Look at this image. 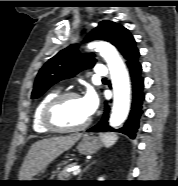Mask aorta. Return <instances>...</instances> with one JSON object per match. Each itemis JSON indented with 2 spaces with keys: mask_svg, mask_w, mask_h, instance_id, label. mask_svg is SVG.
<instances>
[{
  "mask_svg": "<svg viewBox=\"0 0 178 186\" xmlns=\"http://www.w3.org/2000/svg\"><path fill=\"white\" fill-rule=\"evenodd\" d=\"M88 48H95L109 67L114 92V103L109 123L112 127H118L125 121L130 108L128 72L118 52L109 43L96 41L90 43Z\"/></svg>",
  "mask_w": 178,
  "mask_h": 186,
  "instance_id": "762f6f07",
  "label": "aorta"
}]
</instances>
